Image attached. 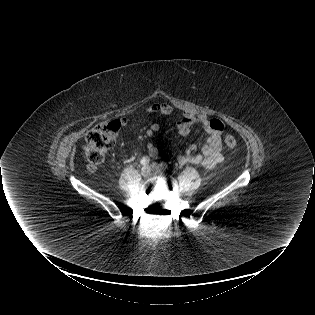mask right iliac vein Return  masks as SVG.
Wrapping results in <instances>:
<instances>
[{"mask_svg":"<svg viewBox=\"0 0 315 315\" xmlns=\"http://www.w3.org/2000/svg\"><path fill=\"white\" fill-rule=\"evenodd\" d=\"M141 174L143 177H148L151 174V169L148 166H143L141 168Z\"/></svg>","mask_w":315,"mask_h":315,"instance_id":"right-iliac-vein-1","label":"right iliac vein"}]
</instances>
